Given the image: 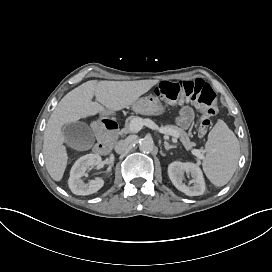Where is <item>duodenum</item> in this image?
I'll return each instance as SVG.
<instances>
[{
    "mask_svg": "<svg viewBox=\"0 0 272 272\" xmlns=\"http://www.w3.org/2000/svg\"><path fill=\"white\" fill-rule=\"evenodd\" d=\"M98 142L95 146V152L98 154H107L117 138L118 124L112 119H101L96 128Z\"/></svg>",
    "mask_w": 272,
    "mask_h": 272,
    "instance_id": "1",
    "label": "duodenum"
}]
</instances>
